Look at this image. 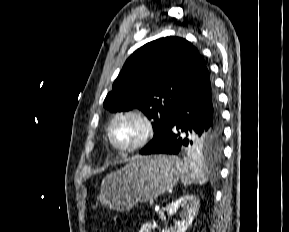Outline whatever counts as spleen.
I'll use <instances>...</instances> for the list:
<instances>
[{
	"label": "spleen",
	"instance_id": "spleen-1",
	"mask_svg": "<svg viewBox=\"0 0 289 232\" xmlns=\"http://www.w3.org/2000/svg\"><path fill=\"white\" fill-rule=\"evenodd\" d=\"M181 174V181L184 184H204L206 182L205 174L202 171L201 165L192 159H184L178 166Z\"/></svg>",
	"mask_w": 289,
	"mask_h": 232
}]
</instances>
